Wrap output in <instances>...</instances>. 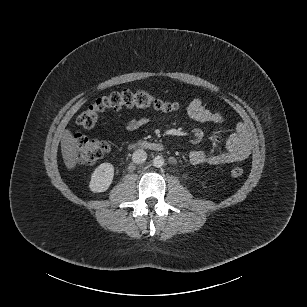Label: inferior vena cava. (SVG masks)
<instances>
[{"mask_svg":"<svg viewBox=\"0 0 307 307\" xmlns=\"http://www.w3.org/2000/svg\"><path fill=\"white\" fill-rule=\"evenodd\" d=\"M147 159V153L143 149H137L133 152L132 160L134 163H143Z\"/></svg>","mask_w":307,"mask_h":307,"instance_id":"inferior-vena-cava-1","label":"inferior vena cava"}]
</instances>
